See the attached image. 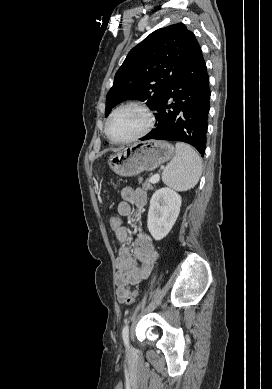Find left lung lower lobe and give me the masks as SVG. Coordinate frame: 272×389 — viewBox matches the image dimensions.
<instances>
[{
	"mask_svg": "<svg viewBox=\"0 0 272 389\" xmlns=\"http://www.w3.org/2000/svg\"><path fill=\"white\" fill-rule=\"evenodd\" d=\"M173 99V102H170ZM209 77L201 48L168 85L157 106V128L141 140L186 142L204 154L209 112Z\"/></svg>",
	"mask_w": 272,
	"mask_h": 389,
	"instance_id": "0a47b994",
	"label": "left lung lower lobe"
}]
</instances>
